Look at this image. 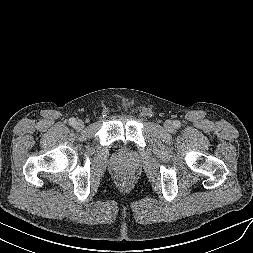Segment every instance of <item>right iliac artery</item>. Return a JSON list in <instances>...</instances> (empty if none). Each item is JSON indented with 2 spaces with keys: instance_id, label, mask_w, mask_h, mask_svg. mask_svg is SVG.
Here are the masks:
<instances>
[{
  "instance_id": "1",
  "label": "right iliac artery",
  "mask_w": 253,
  "mask_h": 253,
  "mask_svg": "<svg viewBox=\"0 0 253 253\" xmlns=\"http://www.w3.org/2000/svg\"><path fill=\"white\" fill-rule=\"evenodd\" d=\"M69 124H70L71 126H75V124H76V119H75V118H71V119L69 120Z\"/></svg>"
}]
</instances>
